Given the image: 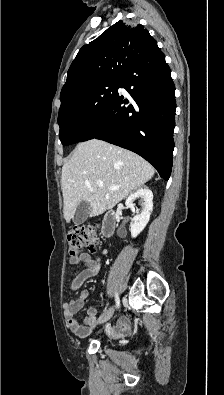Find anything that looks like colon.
<instances>
[{"mask_svg":"<svg viewBox=\"0 0 224 395\" xmlns=\"http://www.w3.org/2000/svg\"><path fill=\"white\" fill-rule=\"evenodd\" d=\"M97 243L95 230L89 227H79L68 232L67 246L71 256H76L83 248H94Z\"/></svg>","mask_w":224,"mask_h":395,"instance_id":"obj_1","label":"colon"}]
</instances>
